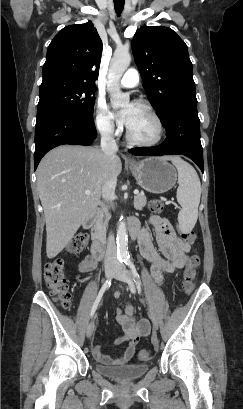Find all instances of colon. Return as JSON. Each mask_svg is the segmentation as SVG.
Masks as SVG:
<instances>
[{"label": "colon", "mask_w": 243, "mask_h": 409, "mask_svg": "<svg viewBox=\"0 0 243 409\" xmlns=\"http://www.w3.org/2000/svg\"><path fill=\"white\" fill-rule=\"evenodd\" d=\"M164 209V204L160 199H153L149 203V210L153 214H160ZM184 241L188 244H194L195 234L192 231L182 232ZM87 244V236L84 234L76 235L70 245L71 253H79ZM200 265V256L197 253L191 255L184 269L183 288L186 293H190L194 288L196 279V271ZM44 279L50 289L52 296L57 300L63 308H69L71 305V293L68 290L67 278L63 270V261L60 258H55L45 264ZM151 357L148 349H141L138 358L142 361H147Z\"/></svg>", "instance_id": "5ec220e1"}]
</instances>
